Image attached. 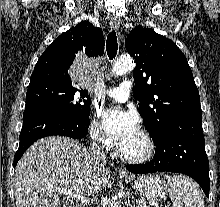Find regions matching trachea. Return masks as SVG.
<instances>
[{
    "instance_id": "trachea-1",
    "label": "trachea",
    "mask_w": 220,
    "mask_h": 207,
    "mask_svg": "<svg viewBox=\"0 0 220 207\" xmlns=\"http://www.w3.org/2000/svg\"><path fill=\"white\" fill-rule=\"evenodd\" d=\"M106 50L110 60H112L117 54L118 43L116 32L114 30L111 31L107 36Z\"/></svg>"
}]
</instances>
